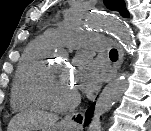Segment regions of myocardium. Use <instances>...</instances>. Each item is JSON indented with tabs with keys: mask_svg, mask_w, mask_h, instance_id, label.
Instances as JSON below:
<instances>
[{
	"mask_svg": "<svg viewBox=\"0 0 151 131\" xmlns=\"http://www.w3.org/2000/svg\"><path fill=\"white\" fill-rule=\"evenodd\" d=\"M52 71L53 65L46 63L35 79L33 90L38 103L40 106L53 111H65L75 107L80 101L78 93L63 101H53L49 98L46 92V83Z\"/></svg>",
	"mask_w": 151,
	"mask_h": 131,
	"instance_id": "1",
	"label": "myocardium"
}]
</instances>
